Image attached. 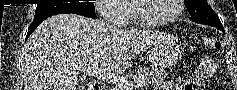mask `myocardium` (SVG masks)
<instances>
[{"instance_id":"myocardium-1","label":"myocardium","mask_w":237,"mask_h":90,"mask_svg":"<svg viewBox=\"0 0 237 90\" xmlns=\"http://www.w3.org/2000/svg\"><path fill=\"white\" fill-rule=\"evenodd\" d=\"M138 1H147V0H138ZM186 0H174L172 1V4L174 6L173 12L167 16L166 18L150 21L143 18L139 12V9L137 7V1H130L132 12L134 19L137 22V28H158L163 25H167L170 23H174L177 21V19L181 16L184 5L182 3H185Z\"/></svg>"}]
</instances>
